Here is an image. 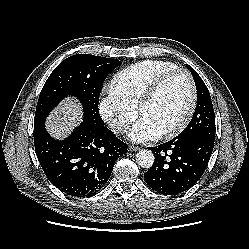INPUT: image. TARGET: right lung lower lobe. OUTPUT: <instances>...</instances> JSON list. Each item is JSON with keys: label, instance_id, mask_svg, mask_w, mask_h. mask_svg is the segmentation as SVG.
Returning a JSON list of instances; mask_svg holds the SVG:
<instances>
[{"label": "right lung lower lobe", "instance_id": "98d812e1", "mask_svg": "<svg viewBox=\"0 0 249 249\" xmlns=\"http://www.w3.org/2000/svg\"><path fill=\"white\" fill-rule=\"evenodd\" d=\"M34 145L49 181L67 195L92 196L108 181L114 163L127 144L111 132L83 119L65 140L52 138L44 123L34 124Z\"/></svg>", "mask_w": 249, "mask_h": 249}]
</instances>
